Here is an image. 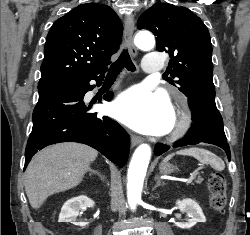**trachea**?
I'll use <instances>...</instances> for the list:
<instances>
[{
    "mask_svg": "<svg viewBox=\"0 0 250 235\" xmlns=\"http://www.w3.org/2000/svg\"><path fill=\"white\" fill-rule=\"evenodd\" d=\"M123 68L134 72L136 70L127 49H124L118 58L111 66L107 73V78L117 77Z\"/></svg>",
    "mask_w": 250,
    "mask_h": 235,
    "instance_id": "trachea-1",
    "label": "trachea"
}]
</instances>
